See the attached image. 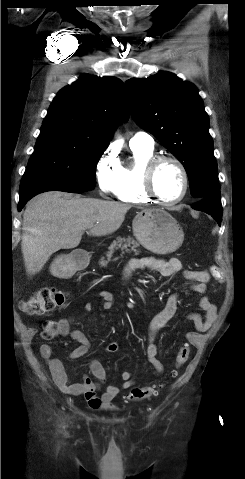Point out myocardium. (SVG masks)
<instances>
[{"label": "myocardium", "instance_id": "f54148a6", "mask_svg": "<svg viewBox=\"0 0 245 479\" xmlns=\"http://www.w3.org/2000/svg\"><path fill=\"white\" fill-rule=\"evenodd\" d=\"M175 164L181 172L183 178V189L181 195L171 201L162 199L155 188V177L158 169L164 163ZM143 189L145 193L154 201L164 206L176 205L184 200L189 190V175L183 162L177 157L171 155H157L152 157L145 165L143 170Z\"/></svg>", "mask_w": 245, "mask_h": 479}]
</instances>
